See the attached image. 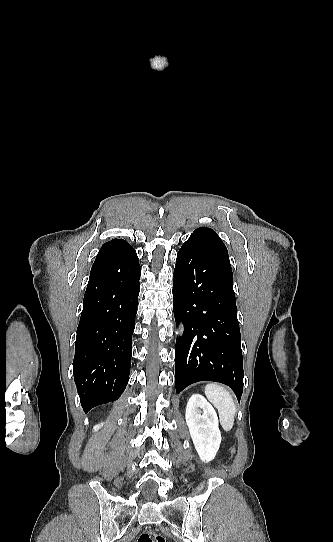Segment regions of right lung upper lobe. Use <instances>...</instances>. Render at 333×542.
I'll list each match as a JSON object with an SVG mask.
<instances>
[{"mask_svg": "<svg viewBox=\"0 0 333 542\" xmlns=\"http://www.w3.org/2000/svg\"><path fill=\"white\" fill-rule=\"evenodd\" d=\"M121 241H123V240L122 239H114V240H111V241L105 243L104 245H110V244L121 242Z\"/></svg>", "mask_w": 333, "mask_h": 542, "instance_id": "1", "label": "right lung upper lobe"}]
</instances>
